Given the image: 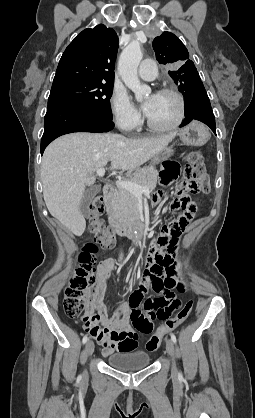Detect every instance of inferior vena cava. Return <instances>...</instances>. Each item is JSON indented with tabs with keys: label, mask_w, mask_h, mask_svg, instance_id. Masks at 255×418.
<instances>
[{
	"label": "inferior vena cava",
	"mask_w": 255,
	"mask_h": 418,
	"mask_svg": "<svg viewBox=\"0 0 255 418\" xmlns=\"http://www.w3.org/2000/svg\"><path fill=\"white\" fill-rule=\"evenodd\" d=\"M119 259L122 260L123 259V253H120L119 255Z\"/></svg>",
	"instance_id": "1"
}]
</instances>
